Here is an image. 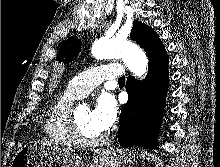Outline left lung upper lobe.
Returning <instances> with one entry per match:
<instances>
[{
  "mask_svg": "<svg viewBox=\"0 0 220 167\" xmlns=\"http://www.w3.org/2000/svg\"><path fill=\"white\" fill-rule=\"evenodd\" d=\"M130 38L140 44L147 55H156L165 50L158 35L148 26L139 21H134ZM81 48L77 37H71L66 40L59 49L56 60L69 63L73 57H76Z\"/></svg>",
  "mask_w": 220,
  "mask_h": 167,
  "instance_id": "1",
  "label": "left lung upper lobe"
}]
</instances>
